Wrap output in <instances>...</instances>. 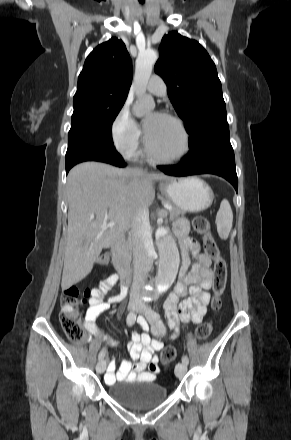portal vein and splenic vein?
I'll return each instance as SVG.
<instances>
[{"label": "portal vein and splenic vein", "mask_w": 291, "mask_h": 440, "mask_svg": "<svg viewBox=\"0 0 291 440\" xmlns=\"http://www.w3.org/2000/svg\"><path fill=\"white\" fill-rule=\"evenodd\" d=\"M164 208L167 210H172V207L169 205H164ZM115 224H116L115 221L105 222L101 225V228L102 229L112 228L115 226Z\"/></svg>", "instance_id": "obj_1"}]
</instances>
